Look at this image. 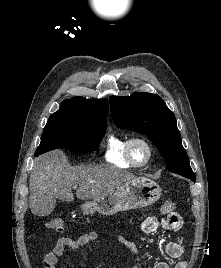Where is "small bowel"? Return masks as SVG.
I'll use <instances>...</instances> for the list:
<instances>
[{
    "label": "small bowel",
    "instance_id": "obj_1",
    "mask_svg": "<svg viewBox=\"0 0 221 268\" xmlns=\"http://www.w3.org/2000/svg\"><path fill=\"white\" fill-rule=\"evenodd\" d=\"M183 226V220L178 213H173L166 216L163 219L156 217H147L141 224V229L145 234H153L159 229L176 232ZM98 233L90 231L80 235L76 239L68 237L60 238L53 249L46 252L43 257V265L45 268H59V260L64 255L66 250H76L79 247L88 245L95 242L98 239ZM119 241L126 246L131 253L135 256L136 260H139L138 249L136 244L125 236H120ZM164 252L167 257L176 259L181 257L185 252V246L181 242H167L164 245ZM187 264L184 261L178 262L174 268H186ZM132 268H146L141 266H133ZM153 268H170L169 264L165 261H157Z\"/></svg>",
    "mask_w": 221,
    "mask_h": 268
}]
</instances>
